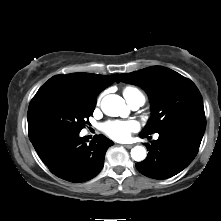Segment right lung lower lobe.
<instances>
[{
    "label": "right lung lower lobe",
    "instance_id": "right-lung-lower-lobe-1",
    "mask_svg": "<svg viewBox=\"0 0 221 221\" xmlns=\"http://www.w3.org/2000/svg\"><path fill=\"white\" fill-rule=\"evenodd\" d=\"M37 154L52 173L69 182H85L103 168L107 149L114 143L96 135L89 144L79 133L43 132L29 136Z\"/></svg>",
    "mask_w": 221,
    "mask_h": 221
}]
</instances>
